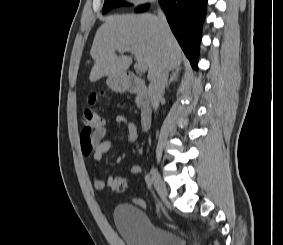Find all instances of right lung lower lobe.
Returning <instances> with one entry per match:
<instances>
[{
    "mask_svg": "<svg viewBox=\"0 0 283 245\" xmlns=\"http://www.w3.org/2000/svg\"><path fill=\"white\" fill-rule=\"evenodd\" d=\"M172 32L177 38L193 68L197 69L202 25L206 15L207 0H159ZM142 5L136 12L147 10Z\"/></svg>",
    "mask_w": 283,
    "mask_h": 245,
    "instance_id": "1",
    "label": "right lung lower lobe"
}]
</instances>
